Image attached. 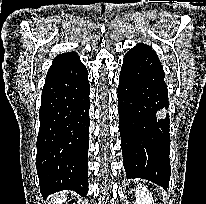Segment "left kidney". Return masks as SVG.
Returning <instances> with one entry per match:
<instances>
[{"mask_svg": "<svg viewBox=\"0 0 206 204\" xmlns=\"http://www.w3.org/2000/svg\"><path fill=\"white\" fill-rule=\"evenodd\" d=\"M136 202L135 204H154L152 194L142 184H138L135 190Z\"/></svg>", "mask_w": 206, "mask_h": 204, "instance_id": "1", "label": "left kidney"}]
</instances>
